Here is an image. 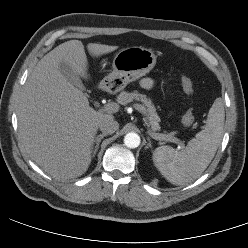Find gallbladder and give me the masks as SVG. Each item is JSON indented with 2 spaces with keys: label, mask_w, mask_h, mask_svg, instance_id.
I'll return each instance as SVG.
<instances>
[{
  "label": "gallbladder",
  "mask_w": 248,
  "mask_h": 248,
  "mask_svg": "<svg viewBox=\"0 0 248 248\" xmlns=\"http://www.w3.org/2000/svg\"><path fill=\"white\" fill-rule=\"evenodd\" d=\"M59 70L71 84L75 85L81 90H85V87L82 81L80 80L79 76L68 64L62 62L59 66Z\"/></svg>",
  "instance_id": "1"
}]
</instances>
